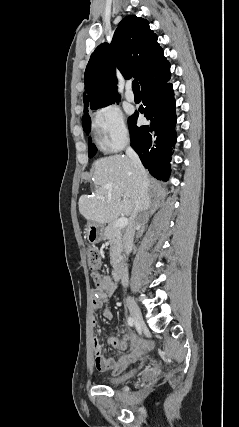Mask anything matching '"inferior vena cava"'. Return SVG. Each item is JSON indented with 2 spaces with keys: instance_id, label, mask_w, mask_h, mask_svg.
Here are the masks:
<instances>
[{
  "instance_id": "inferior-vena-cava-1",
  "label": "inferior vena cava",
  "mask_w": 239,
  "mask_h": 427,
  "mask_svg": "<svg viewBox=\"0 0 239 427\" xmlns=\"http://www.w3.org/2000/svg\"><path fill=\"white\" fill-rule=\"evenodd\" d=\"M126 155L131 159L133 165L136 169V172L139 177V187H138V197L135 201V206L130 217V222L123 236V248L125 254L128 256L133 247V239L135 235L136 225L140 222V219L146 209H148L150 204V198L148 195L149 190V180L147 173L141 163V160L138 154L128 146L126 148ZM128 268L125 264L122 269L121 283L123 286H128Z\"/></svg>"
}]
</instances>
